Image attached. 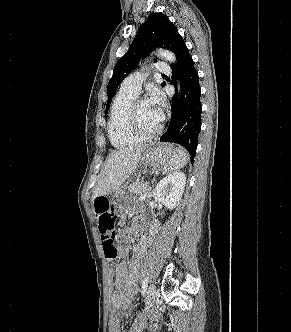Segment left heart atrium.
Instances as JSON below:
<instances>
[{"mask_svg": "<svg viewBox=\"0 0 291 332\" xmlns=\"http://www.w3.org/2000/svg\"><path fill=\"white\" fill-rule=\"evenodd\" d=\"M148 101L150 102V104L155 107L157 109V111L160 114L161 117V109L160 106L162 105L163 102V97L161 95V93L157 90H153L150 94V97L148 99Z\"/></svg>", "mask_w": 291, "mask_h": 332, "instance_id": "obj_1", "label": "left heart atrium"}]
</instances>
